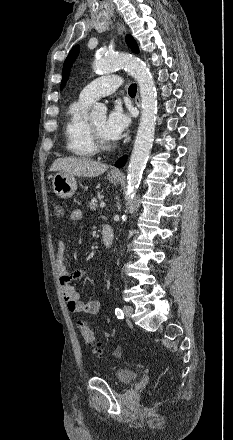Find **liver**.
<instances>
[{
    "mask_svg": "<svg viewBox=\"0 0 233 440\" xmlns=\"http://www.w3.org/2000/svg\"><path fill=\"white\" fill-rule=\"evenodd\" d=\"M107 169L108 165L106 164L81 157L58 158L50 167V171H59L79 177H96L103 174Z\"/></svg>",
    "mask_w": 233,
    "mask_h": 440,
    "instance_id": "6515ba94",
    "label": "liver"
}]
</instances>
